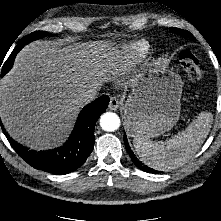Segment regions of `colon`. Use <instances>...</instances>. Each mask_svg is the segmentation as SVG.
I'll return each mask as SVG.
<instances>
[{"instance_id":"obj_1","label":"colon","mask_w":221,"mask_h":221,"mask_svg":"<svg viewBox=\"0 0 221 221\" xmlns=\"http://www.w3.org/2000/svg\"><path fill=\"white\" fill-rule=\"evenodd\" d=\"M179 61L188 79L194 84L200 83L204 76V71L199 58L192 52L184 50L180 53Z\"/></svg>"}]
</instances>
